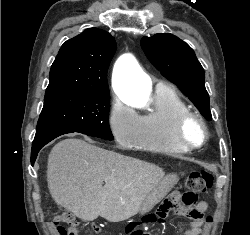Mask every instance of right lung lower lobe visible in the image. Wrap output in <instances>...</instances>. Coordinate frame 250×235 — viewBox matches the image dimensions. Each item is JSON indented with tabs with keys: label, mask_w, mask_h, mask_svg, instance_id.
Listing matches in <instances>:
<instances>
[{
	"label": "right lung lower lobe",
	"mask_w": 250,
	"mask_h": 235,
	"mask_svg": "<svg viewBox=\"0 0 250 235\" xmlns=\"http://www.w3.org/2000/svg\"><path fill=\"white\" fill-rule=\"evenodd\" d=\"M73 132L76 131L63 127H53L36 131V135L32 143L31 164L34 165L37 154L44 145H46L47 143H49L60 135Z\"/></svg>",
	"instance_id": "1"
}]
</instances>
